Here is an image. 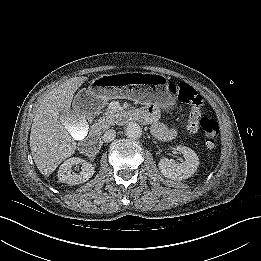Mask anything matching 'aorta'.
<instances>
[{"instance_id":"762f6f07","label":"aorta","mask_w":261,"mask_h":261,"mask_svg":"<svg viewBox=\"0 0 261 261\" xmlns=\"http://www.w3.org/2000/svg\"><path fill=\"white\" fill-rule=\"evenodd\" d=\"M125 133L130 139H139L142 135V128L137 123H129L125 129Z\"/></svg>"}]
</instances>
